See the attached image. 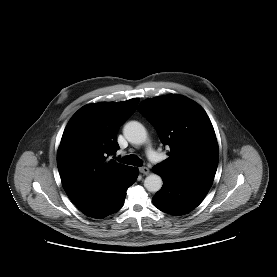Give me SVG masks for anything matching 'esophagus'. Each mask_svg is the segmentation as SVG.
Wrapping results in <instances>:
<instances>
[{
    "label": "esophagus",
    "instance_id": "esophagus-1",
    "mask_svg": "<svg viewBox=\"0 0 277 277\" xmlns=\"http://www.w3.org/2000/svg\"><path fill=\"white\" fill-rule=\"evenodd\" d=\"M139 171L145 175L149 174L150 170L148 167L144 166V167H140Z\"/></svg>",
    "mask_w": 277,
    "mask_h": 277
}]
</instances>
